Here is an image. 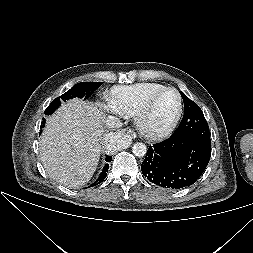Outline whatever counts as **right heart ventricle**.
I'll list each match as a JSON object with an SVG mask.
<instances>
[{
  "mask_svg": "<svg viewBox=\"0 0 253 253\" xmlns=\"http://www.w3.org/2000/svg\"><path fill=\"white\" fill-rule=\"evenodd\" d=\"M164 87L162 84L151 82L116 86L110 92L112 108L125 117H135L143 101Z\"/></svg>",
  "mask_w": 253,
  "mask_h": 253,
  "instance_id": "e07e8e85",
  "label": "right heart ventricle"
}]
</instances>
